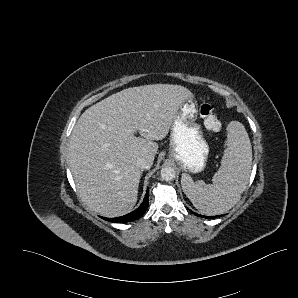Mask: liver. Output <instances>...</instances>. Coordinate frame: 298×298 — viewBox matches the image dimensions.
Here are the masks:
<instances>
[{
    "instance_id": "1",
    "label": "liver",
    "mask_w": 298,
    "mask_h": 298,
    "mask_svg": "<svg viewBox=\"0 0 298 298\" xmlns=\"http://www.w3.org/2000/svg\"><path fill=\"white\" fill-rule=\"evenodd\" d=\"M192 96L183 85L154 83L125 88L85 110L70 139L69 164L83 202L104 217L136 205L142 171L154 161L179 105ZM138 130L140 137L133 135Z\"/></svg>"
}]
</instances>
